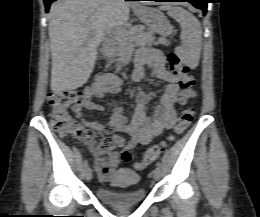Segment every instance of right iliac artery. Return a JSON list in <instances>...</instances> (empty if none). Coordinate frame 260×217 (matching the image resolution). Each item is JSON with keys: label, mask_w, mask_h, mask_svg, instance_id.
Here are the masks:
<instances>
[{"label": "right iliac artery", "mask_w": 260, "mask_h": 217, "mask_svg": "<svg viewBox=\"0 0 260 217\" xmlns=\"http://www.w3.org/2000/svg\"><path fill=\"white\" fill-rule=\"evenodd\" d=\"M87 166H88V162L85 161V162H84V167H87Z\"/></svg>", "instance_id": "right-iliac-artery-1"}]
</instances>
